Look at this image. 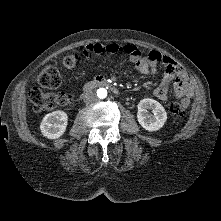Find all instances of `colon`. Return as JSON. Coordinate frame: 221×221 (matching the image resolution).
<instances>
[{"label":"colon","mask_w":221,"mask_h":221,"mask_svg":"<svg viewBox=\"0 0 221 221\" xmlns=\"http://www.w3.org/2000/svg\"><path fill=\"white\" fill-rule=\"evenodd\" d=\"M77 63L78 57L73 54L67 55L63 59V65L67 69L75 68ZM38 83L41 87L47 89L58 87L61 83L58 69L54 66L43 69L38 76ZM29 99L36 112L50 111L71 102V96L67 93L44 92L37 87L29 91ZM189 106V99H182L171 102L168 109L172 115H184Z\"/></svg>","instance_id":"colon-1"}]
</instances>
